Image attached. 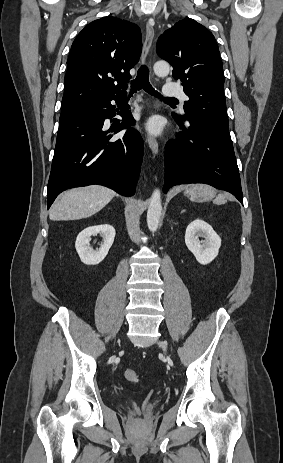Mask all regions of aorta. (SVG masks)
Masks as SVG:
<instances>
[{
  "label": "aorta",
  "instance_id": "1",
  "mask_svg": "<svg viewBox=\"0 0 283 463\" xmlns=\"http://www.w3.org/2000/svg\"><path fill=\"white\" fill-rule=\"evenodd\" d=\"M157 76H166L170 71L169 64L165 61H158L153 66ZM162 213L161 194L159 189H155L149 203L147 211V225L151 232H155L159 226Z\"/></svg>",
  "mask_w": 283,
  "mask_h": 463
}]
</instances>
